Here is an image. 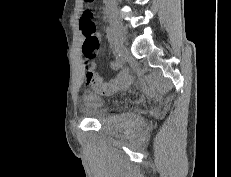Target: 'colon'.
<instances>
[{
  "mask_svg": "<svg viewBox=\"0 0 231 177\" xmlns=\"http://www.w3.org/2000/svg\"><path fill=\"white\" fill-rule=\"evenodd\" d=\"M86 2H92L93 0H85ZM80 28L84 36V43L82 47V52L84 59L87 61H92L96 56L99 49V39L95 34V25L91 20V11L85 10L80 19Z\"/></svg>",
  "mask_w": 231,
  "mask_h": 177,
  "instance_id": "5ec220e1",
  "label": "colon"
}]
</instances>
